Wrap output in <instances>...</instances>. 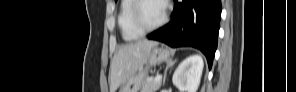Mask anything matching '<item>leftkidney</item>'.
I'll return each instance as SVG.
<instances>
[{"mask_svg":"<svg viewBox=\"0 0 296 92\" xmlns=\"http://www.w3.org/2000/svg\"><path fill=\"white\" fill-rule=\"evenodd\" d=\"M204 61L194 54L185 58L176 68L172 82L180 92H196L202 76Z\"/></svg>","mask_w":296,"mask_h":92,"instance_id":"5707ae66","label":"left kidney"}]
</instances>
